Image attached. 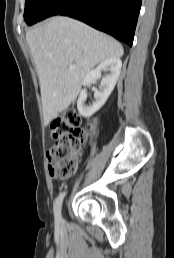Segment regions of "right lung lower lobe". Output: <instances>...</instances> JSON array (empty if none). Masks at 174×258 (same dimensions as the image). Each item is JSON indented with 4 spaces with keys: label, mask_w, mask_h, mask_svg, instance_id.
Listing matches in <instances>:
<instances>
[{
    "label": "right lung lower lobe",
    "mask_w": 174,
    "mask_h": 258,
    "mask_svg": "<svg viewBox=\"0 0 174 258\" xmlns=\"http://www.w3.org/2000/svg\"><path fill=\"white\" fill-rule=\"evenodd\" d=\"M141 2L142 0H52L43 19L54 15L69 16L132 46Z\"/></svg>",
    "instance_id": "98d812e1"
}]
</instances>
